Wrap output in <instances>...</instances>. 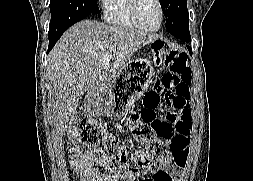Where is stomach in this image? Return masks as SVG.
<instances>
[{
    "instance_id": "stomach-1",
    "label": "stomach",
    "mask_w": 253,
    "mask_h": 181,
    "mask_svg": "<svg viewBox=\"0 0 253 181\" xmlns=\"http://www.w3.org/2000/svg\"><path fill=\"white\" fill-rule=\"evenodd\" d=\"M151 60L140 57L126 63L105 87L90 91L84 105L92 116L125 117L142 96L152 78Z\"/></svg>"
}]
</instances>
